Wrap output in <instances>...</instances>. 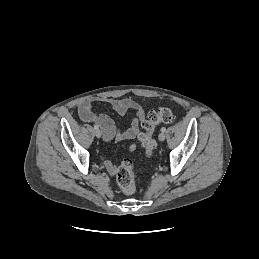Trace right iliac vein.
<instances>
[{
	"instance_id": "1",
	"label": "right iliac vein",
	"mask_w": 259,
	"mask_h": 259,
	"mask_svg": "<svg viewBox=\"0 0 259 259\" xmlns=\"http://www.w3.org/2000/svg\"><path fill=\"white\" fill-rule=\"evenodd\" d=\"M95 136L97 137V138H100L101 137V131L98 129V130H95Z\"/></svg>"
}]
</instances>
